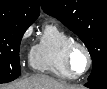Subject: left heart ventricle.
Returning a JSON list of instances; mask_svg holds the SVG:
<instances>
[{
	"label": "left heart ventricle",
	"instance_id": "left-heart-ventricle-1",
	"mask_svg": "<svg viewBox=\"0 0 107 89\" xmlns=\"http://www.w3.org/2000/svg\"><path fill=\"white\" fill-rule=\"evenodd\" d=\"M87 65V59L84 52L76 48L71 55V67L75 73H82Z\"/></svg>",
	"mask_w": 107,
	"mask_h": 89
}]
</instances>
